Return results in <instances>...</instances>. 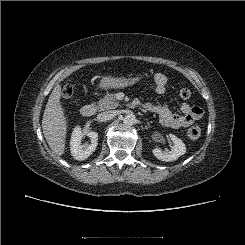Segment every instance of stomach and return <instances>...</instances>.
<instances>
[{
    "instance_id": "1",
    "label": "stomach",
    "mask_w": 245,
    "mask_h": 245,
    "mask_svg": "<svg viewBox=\"0 0 245 245\" xmlns=\"http://www.w3.org/2000/svg\"><path fill=\"white\" fill-rule=\"evenodd\" d=\"M141 77L125 78L105 76L100 80L99 87L101 89H119L139 83Z\"/></svg>"
}]
</instances>
